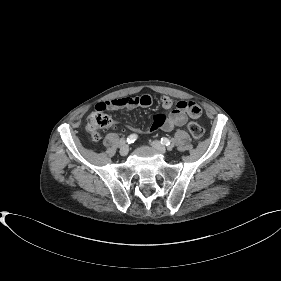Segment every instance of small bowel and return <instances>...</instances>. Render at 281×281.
<instances>
[{"mask_svg": "<svg viewBox=\"0 0 281 281\" xmlns=\"http://www.w3.org/2000/svg\"><path fill=\"white\" fill-rule=\"evenodd\" d=\"M152 97L149 94H144L141 96L134 97H119L109 101L100 102L96 104V110H124V109H135L138 107H148L152 104ZM160 104L169 112L158 113L153 117L152 124L147 130L136 126H129L131 130L136 132H146L154 130H164V131H173L178 127H182L186 124L188 117H198L201 114L200 107L192 101H177L176 103L168 96H162L160 98ZM191 108H196L199 111L197 113L193 112Z\"/></svg>", "mask_w": 281, "mask_h": 281, "instance_id": "obj_1", "label": "small bowel"}]
</instances>
